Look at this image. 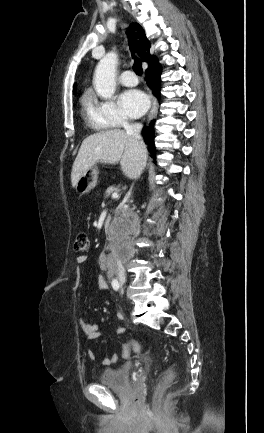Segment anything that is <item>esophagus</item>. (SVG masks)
<instances>
[{
	"instance_id": "34e87169",
	"label": "esophagus",
	"mask_w": 264,
	"mask_h": 433,
	"mask_svg": "<svg viewBox=\"0 0 264 433\" xmlns=\"http://www.w3.org/2000/svg\"><path fill=\"white\" fill-rule=\"evenodd\" d=\"M150 98H151V102H152V107L148 116V120H151L153 117V114L157 111L158 108V102L157 99L153 96L152 93H150Z\"/></svg>"
}]
</instances>
